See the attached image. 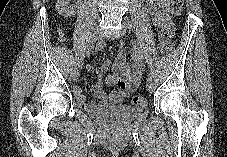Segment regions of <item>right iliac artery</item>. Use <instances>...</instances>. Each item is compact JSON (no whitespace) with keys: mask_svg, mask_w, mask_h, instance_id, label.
I'll return each instance as SVG.
<instances>
[{"mask_svg":"<svg viewBox=\"0 0 227 157\" xmlns=\"http://www.w3.org/2000/svg\"><path fill=\"white\" fill-rule=\"evenodd\" d=\"M93 45H91V48H81L80 51L78 52V54H76V57H75V60H73V65L75 68H78L79 67V63H80V59H81V56L83 55V53H88L89 52V49H91V51L94 49L96 50H102V45L99 44V39L97 36H94L93 37Z\"/></svg>","mask_w":227,"mask_h":157,"instance_id":"1","label":"right iliac artery"}]
</instances>
